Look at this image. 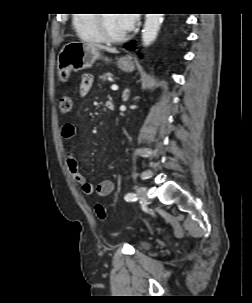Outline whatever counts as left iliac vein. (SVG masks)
<instances>
[{
	"label": "left iliac vein",
	"instance_id": "obj_1",
	"mask_svg": "<svg viewBox=\"0 0 252 303\" xmlns=\"http://www.w3.org/2000/svg\"><path fill=\"white\" fill-rule=\"evenodd\" d=\"M136 193L141 198L143 204H148V195H147V190L145 188L143 187L137 188Z\"/></svg>",
	"mask_w": 252,
	"mask_h": 303
}]
</instances>
